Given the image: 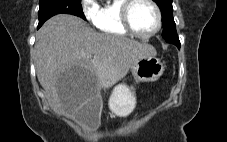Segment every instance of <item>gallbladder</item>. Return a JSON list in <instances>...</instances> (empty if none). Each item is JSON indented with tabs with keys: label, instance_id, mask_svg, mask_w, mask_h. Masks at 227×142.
<instances>
[{
	"label": "gallbladder",
	"instance_id": "bac80fb5",
	"mask_svg": "<svg viewBox=\"0 0 227 142\" xmlns=\"http://www.w3.org/2000/svg\"><path fill=\"white\" fill-rule=\"evenodd\" d=\"M103 102L101 98H93L87 102L76 114L78 120L87 123H98Z\"/></svg>",
	"mask_w": 227,
	"mask_h": 142
}]
</instances>
